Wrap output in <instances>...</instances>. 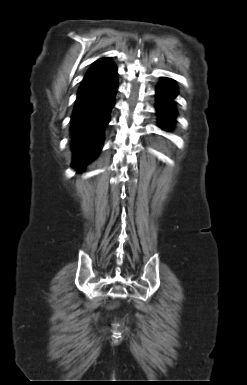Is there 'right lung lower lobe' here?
Returning <instances> with one entry per match:
<instances>
[{"label":"right lung lower lobe","mask_w":247,"mask_h":385,"mask_svg":"<svg viewBox=\"0 0 247 385\" xmlns=\"http://www.w3.org/2000/svg\"><path fill=\"white\" fill-rule=\"evenodd\" d=\"M118 88L113 62L88 71L77 93L71 119L74 167L78 172L100 152Z\"/></svg>","instance_id":"98d812e1"}]
</instances>
